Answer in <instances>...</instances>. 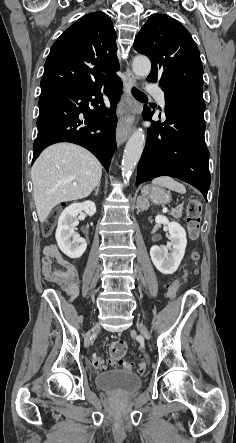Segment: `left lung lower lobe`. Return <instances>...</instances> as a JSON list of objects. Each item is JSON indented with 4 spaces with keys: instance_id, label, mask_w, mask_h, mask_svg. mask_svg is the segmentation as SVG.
Instances as JSON below:
<instances>
[{
    "instance_id": "0a47b994",
    "label": "left lung lower lobe",
    "mask_w": 236,
    "mask_h": 443,
    "mask_svg": "<svg viewBox=\"0 0 236 443\" xmlns=\"http://www.w3.org/2000/svg\"><path fill=\"white\" fill-rule=\"evenodd\" d=\"M163 91L166 122L152 121L148 129L136 186L159 176H171L195 186L207 201L210 173L204 140L203 88L183 86ZM153 114L144 107V119Z\"/></svg>"
}]
</instances>
